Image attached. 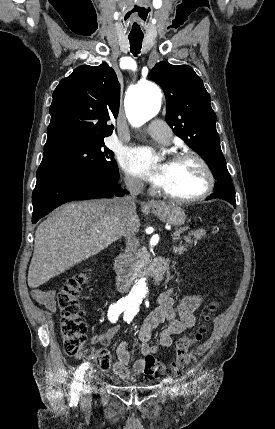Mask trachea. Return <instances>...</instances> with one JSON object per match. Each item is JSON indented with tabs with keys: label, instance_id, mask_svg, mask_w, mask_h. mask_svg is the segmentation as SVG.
<instances>
[{
	"label": "trachea",
	"instance_id": "1",
	"mask_svg": "<svg viewBox=\"0 0 275 429\" xmlns=\"http://www.w3.org/2000/svg\"><path fill=\"white\" fill-rule=\"evenodd\" d=\"M143 37H129L130 50L134 55L140 53Z\"/></svg>",
	"mask_w": 275,
	"mask_h": 429
}]
</instances>
